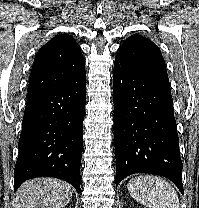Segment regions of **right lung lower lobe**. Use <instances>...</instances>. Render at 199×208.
I'll list each match as a JSON object with an SVG mask.
<instances>
[{"mask_svg":"<svg viewBox=\"0 0 199 208\" xmlns=\"http://www.w3.org/2000/svg\"><path fill=\"white\" fill-rule=\"evenodd\" d=\"M86 76L57 88L27 95L14 192L26 180L48 176L80 191Z\"/></svg>","mask_w":199,"mask_h":208,"instance_id":"1","label":"right lung lower lobe"}]
</instances>
